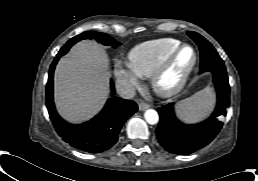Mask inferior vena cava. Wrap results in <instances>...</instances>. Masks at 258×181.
Masks as SVG:
<instances>
[{"instance_id":"602c4592","label":"inferior vena cava","mask_w":258,"mask_h":181,"mask_svg":"<svg viewBox=\"0 0 258 181\" xmlns=\"http://www.w3.org/2000/svg\"><path fill=\"white\" fill-rule=\"evenodd\" d=\"M116 90L120 97L124 99H131L135 96L136 93L134 86L125 80L117 81Z\"/></svg>"}]
</instances>
